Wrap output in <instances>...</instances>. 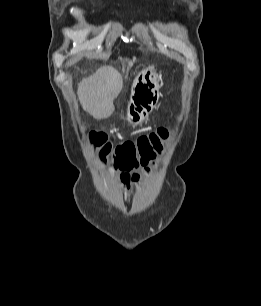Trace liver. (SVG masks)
<instances>
[{
	"label": "liver",
	"instance_id": "1",
	"mask_svg": "<svg viewBox=\"0 0 261 306\" xmlns=\"http://www.w3.org/2000/svg\"><path fill=\"white\" fill-rule=\"evenodd\" d=\"M122 87V75L115 68L104 66L83 79L77 93L83 109L95 119H103L114 112L113 102Z\"/></svg>",
	"mask_w": 261,
	"mask_h": 306
}]
</instances>
